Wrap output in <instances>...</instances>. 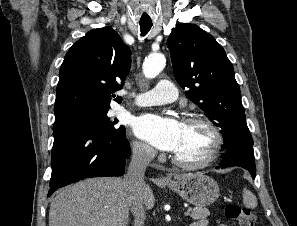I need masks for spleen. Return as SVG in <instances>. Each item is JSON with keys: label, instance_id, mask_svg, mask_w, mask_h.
Wrapping results in <instances>:
<instances>
[{"label": "spleen", "instance_id": "3e777b00", "mask_svg": "<svg viewBox=\"0 0 297 226\" xmlns=\"http://www.w3.org/2000/svg\"><path fill=\"white\" fill-rule=\"evenodd\" d=\"M243 204L250 209L256 208L258 204L256 196L247 188L243 189Z\"/></svg>", "mask_w": 297, "mask_h": 226}]
</instances>
